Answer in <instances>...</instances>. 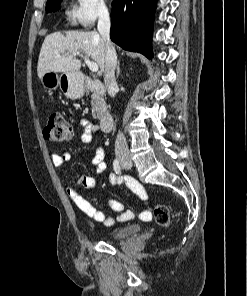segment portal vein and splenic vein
I'll return each instance as SVG.
<instances>
[{"label": "portal vein and splenic vein", "instance_id": "1", "mask_svg": "<svg viewBox=\"0 0 247 296\" xmlns=\"http://www.w3.org/2000/svg\"><path fill=\"white\" fill-rule=\"evenodd\" d=\"M76 55L84 59V62L87 64L90 71H92L94 73L98 72L99 67H98V64L96 62H92L87 57H83V55H81L79 52L76 53L75 56Z\"/></svg>", "mask_w": 247, "mask_h": 296}]
</instances>
